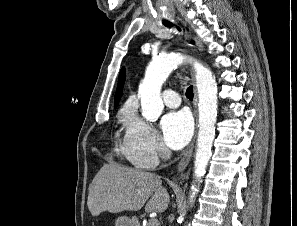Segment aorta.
Returning <instances> with one entry per match:
<instances>
[{
	"instance_id": "aorta-1",
	"label": "aorta",
	"mask_w": 297,
	"mask_h": 226,
	"mask_svg": "<svg viewBox=\"0 0 297 226\" xmlns=\"http://www.w3.org/2000/svg\"><path fill=\"white\" fill-rule=\"evenodd\" d=\"M191 61L179 53H170L155 58L147 67L145 78L139 86L142 116L149 121H156L164 105L160 96L161 86L170 73L179 65ZM196 86L199 97V131L194 162V176L201 179L211 157V148L215 138L217 118V84L212 72L201 63L194 61ZM199 190L194 188L190 202L194 201Z\"/></svg>"
}]
</instances>
